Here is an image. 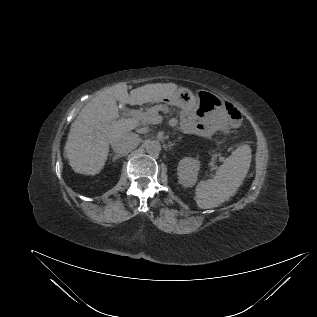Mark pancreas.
<instances>
[{"label":"pancreas","instance_id":"pancreas-1","mask_svg":"<svg viewBox=\"0 0 317 317\" xmlns=\"http://www.w3.org/2000/svg\"><path fill=\"white\" fill-rule=\"evenodd\" d=\"M159 111H163L164 113H167L170 111V109L166 105H156V106L148 108L145 113L148 117H155V116H158ZM143 122L149 123V120H145ZM216 159H217V154H214L211 158L212 160L211 165H214Z\"/></svg>","mask_w":317,"mask_h":317}]
</instances>
